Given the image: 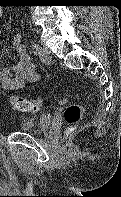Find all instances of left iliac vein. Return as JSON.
Segmentation results:
<instances>
[{
    "label": "left iliac vein",
    "instance_id": "4c4485c4",
    "mask_svg": "<svg viewBox=\"0 0 121 197\" xmlns=\"http://www.w3.org/2000/svg\"><path fill=\"white\" fill-rule=\"evenodd\" d=\"M38 56L43 63H49L51 61V52L46 47L39 49Z\"/></svg>",
    "mask_w": 121,
    "mask_h": 197
}]
</instances>
